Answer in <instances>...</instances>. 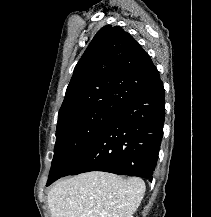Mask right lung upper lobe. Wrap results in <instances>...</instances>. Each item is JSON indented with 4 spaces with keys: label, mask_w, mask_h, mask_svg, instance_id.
Returning a JSON list of instances; mask_svg holds the SVG:
<instances>
[{
    "label": "right lung upper lobe",
    "mask_w": 211,
    "mask_h": 217,
    "mask_svg": "<svg viewBox=\"0 0 211 217\" xmlns=\"http://www.w3.org/2000/svg\"><path fill=\"white\" fill-rule=\"evenodd\" d=\"M158 81L159 72L140 44L121 27L106 25L75 66L57 125L87 113L118 112Z\"/></svg>",
    "instance_id": "cb5924a9"
}]
</instances>
